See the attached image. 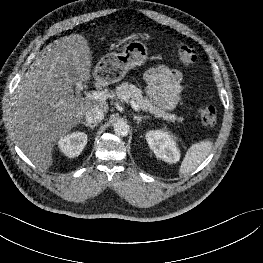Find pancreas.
Here are the masks:
<instances>
[{"label":"pancreas","instance_id":"cf45deb5","mask_svg":"<svg viewBox=\"0 0 263 263\" xmlns=\"http://www.w3.org/2000/svg\"><path fill=\"white\" fill-rule=\"evenodd\" d=\"M115 94L119 99H129L134 100L143 111H148L150 114L154 115L156 118H162L163 120L169 122L181 123L183 121L182 117H177L175 114H170L165 110L156 107L152 104L148 98L143 96L141 89L133 84L123 82L115 89Z\"/></svg>","mask_w":263,"mask_h":263}]
</instances>
